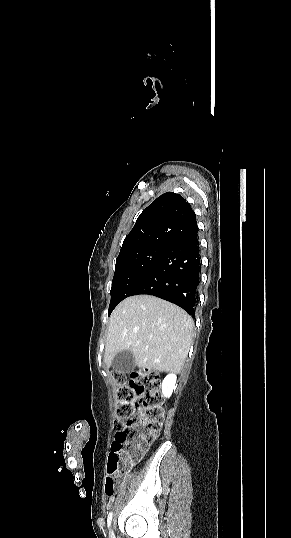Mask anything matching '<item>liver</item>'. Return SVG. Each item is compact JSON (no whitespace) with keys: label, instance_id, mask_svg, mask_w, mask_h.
Wrapping results in <instances>:
<instances>
[{"label":"liver","instance_id":"liver-1","mask_svg":"<svg viewBox=\"0 0 291 538\" xmlns=\"http://www.w3.org/2000/svg\"><path fill=\"white\" fill-rule=\"evenodd\" d=\"M193 327L191 316L170 302L151 295L128 297L110 316L105 362L110 364L117 353L129 350L139 368L179 373Z\"/></svg>","mask_w":291,"mask_h":538}]
</instances>
